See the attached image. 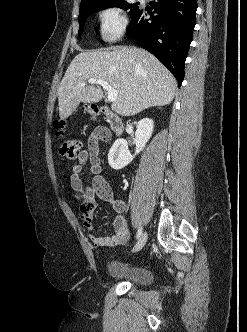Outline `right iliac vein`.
I'll list each match as a JSON object with an SVG mask.
<instances>
[{
	"label": "right iliac vein",
	"instance_id": "63e3f726",
	"mask_svg": "<svg viewBox=\"0 0 247 332\" xmlns=\"http://www.w3.org/2000/svg\"><path fill=\"white\" fill-rule=\"evenodd\" d=\"M146 241H147V234H146V233H143V234L141 235V237L139 238V240L137 241V243H136V245L134 246V248H133L132 251H133V252H138V251H140V250L144 247Z\"/></svg>",
	"mask_w": 247,
	"mask_h": 332
}]
</instances>
